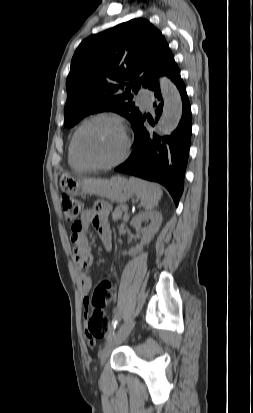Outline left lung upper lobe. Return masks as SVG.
<instances>
[{"label": "left lung upper lobe", "mask_w": 253, "mask_h": 413, "mask_svg": "<svg viewBox=\"0 0 253 413\" xmlns=\"http://www.w3.org/2000/svg\"><path fill=\"white\" fill-rule=\"evenodd\" d=\"M172 57L161 32L143 18L84 39L66 81L65 125L103 111L119 113L134 124L141 115L132 103L134 95L140 86L150 88Z\"/></svg>", "instance_id": "5c2ea615"}]
</instances>
